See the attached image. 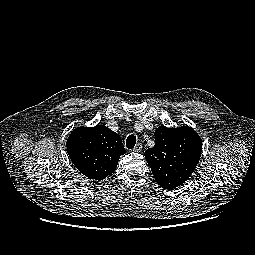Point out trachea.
Instances as JSON below:
<instances>
[{"mask_svg":"<svg viewBox=\"0 0 255 255\" xmlns=\"http://www.w3.org/2000/svg\"><path fill=\"white\" fill-rule=\"evenodd\" d=\"M135 144H136V136H134L133 134L129 135L126 140V147L128 149H133Z\"/></svg>","mask_w":255,"mask_h":255,"instance_id":"obj_1","label":"trachea"}]
</instances>
